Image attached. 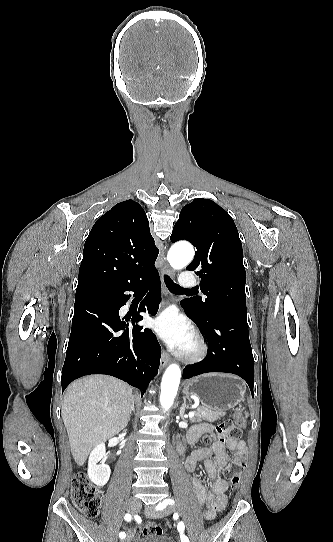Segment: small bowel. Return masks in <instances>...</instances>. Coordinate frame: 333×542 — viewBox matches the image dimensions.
Listing matches in <instances>:
<instances>
[{
	"instance_id": "obj_1",
	"label": "small bowel",
	"mask_w": 333,
	"mask_h": 542,
	"mask_svg": "<svg viewBox=\"0 0 333 542\" xmlns=\"http://www.w3.org/2000/svg\"><path fill=\"white\" fill-rule=\"evenodd\" d=\"M189 432L197 436V438L205 433L213 435L212 427L208 424L197 425ZM227 450L233 451L235 458L247 455V445L244 440L221 441L214 438L208 447L198 448L193 451L185 462V469L188 473L195 470L198 462H203L209 477L208 485L203 484L198 476H194L192 480L196 499L200 505L204 506L203 515L207 520L214 519L217 512L223 510L227 503L226 491L228 483L222 478V474L229 463ZM140 534L139 527H130L127 530V541L134 542Z\"/></svg>"
}]
</instances>
